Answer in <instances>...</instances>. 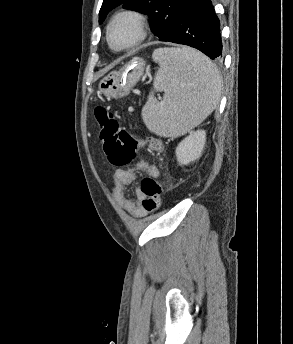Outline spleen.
I'll use <instances>...</instances> for the list:
<instances>
[{"instance_id": "obj_1", "label": "spleen", "mask_w": 293, "mask_h": 344, "mask_svg": "<svg viewBox=\"0 0 293 344\" xmlns=\"http://www.w3.org/2000/svg\"><path fill=\"white\" fill-rule=\"evenodd\" d=\"M152 58L160 67L154 90L164 91V97L159 102L153 92L149 94L143 122L159 136H181L217 107L223 86L220 73L205 55L188 47L159 48Z\"/></svg>"}]
</instances>
